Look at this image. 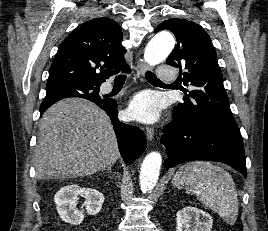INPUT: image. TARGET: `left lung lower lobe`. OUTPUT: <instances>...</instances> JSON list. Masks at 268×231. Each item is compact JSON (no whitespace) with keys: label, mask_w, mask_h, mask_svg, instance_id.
<instances>
[{"label":"left lung lower lobe","mask_w":268,"mask_h":231,"mask_svg":"<svg viewBox=\"0 0 268 231\" xmlns=\"http://www.w3.org/2000/svg\"><path fill=\"white\" fill-rule=\"evenodd\" d=\"M163 128L161 142L166 147V168L192 160L223 162L246 177L243 140L240 134L222 126L185 121L173 114Z\"/></svg>","instance_id":"0a47b994"}]
</instances>
